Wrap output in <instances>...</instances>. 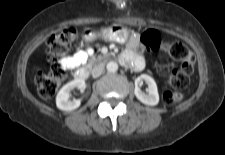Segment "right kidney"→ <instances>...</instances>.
<instances>
[{"instance_id": "right-kidney-1", "label": "right kidney", "mask_w": 225, "mask_h": 155, "mask_svg": "<svg viewBox=\"0 0 225 155\" xmlns=\"http://www.w3.org/2000/svg\"><path fill=\"white\" fill-rule=\"evenodd\" d=\"M78 88L80 90L85 89V81L82 79H75L71 82L65 84L56 96V105L60 110L71 111L77 109L80 104V99L69 100L70 92L74 89Z\"/></svg>"}]
</instances>
